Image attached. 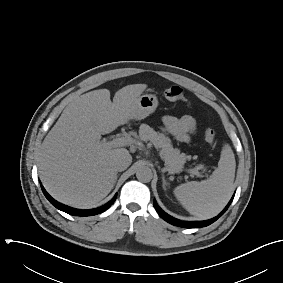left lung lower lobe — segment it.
<instances>
[{"label":"left lung lower lobe","mask_w":283,"mask_h":283,"mask_svg":"<svg viewBox=\"0 0 283 283\" xmlns=\"http://www.w3.org/2000/svg\"><path fill=\"white\" fill-rule=\"evenodd\" d=\"M234 196L232 197V199L230 200V202L228 203V205L225 207V209L217 216L214 217L210 220H206V221H195V222H186V221H180L178 219H175L173 217H171L170 215H168L167 213H165L156 203V201L154 200L153 204L154 207L156 209V211L158 212V214L168 223L175 225V226H180V227H184V228H200V227H205L208 226L210 224H212L213 222H215L219 217H221L225 211L228 209L229 205L231 204L232 200H233Z\"/></svg>","instance_id":"1"}]
</instances>
